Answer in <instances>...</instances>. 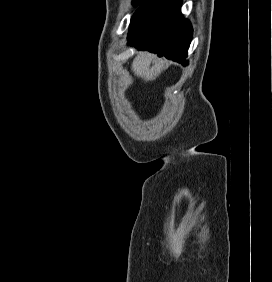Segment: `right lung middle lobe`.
Instances as JSON below:
<instances>
[{"instance_id":"obj_1","label":"right lung middle lobe","mask_w":272,"mask_h":282,"mask_svg":"<svg viewBox=\"0 0 272 282\" xmlns=\"http://www.w3.org/2000/svg\"><path fill=\"white\" fill-rule=\"evenodd\" d=\"M142 0H133V5L134 6H137L139 5V3L141 2Z\"/></svg>"}]
</instances>
